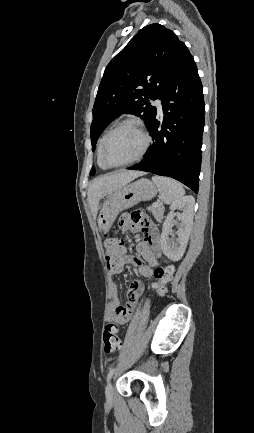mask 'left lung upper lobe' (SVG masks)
I'll use <instances>...</instances> for the list:
<instances>
[{"mask_svg":"<svg viewBox=\"0 0 254 433\" xmlns=\"http://www.w3.org/2000/svg\"><path fill=\"white\" fill-rule=\"evenodd\" d=\"M189 50L160 24L142 28L107 65L93 106L92 150L108 124L122 114H135L147 128L156 115L149 99L160 98ZM95 174L92 168L90 175Z\"/></svg>","mask_w":254,"mask_h":433,"instance_id":"1","label":"left lung upper lobe"}]
</instances>
